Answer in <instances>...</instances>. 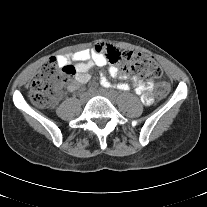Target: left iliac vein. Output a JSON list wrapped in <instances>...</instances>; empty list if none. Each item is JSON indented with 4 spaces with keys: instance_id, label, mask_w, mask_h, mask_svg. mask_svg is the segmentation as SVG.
<instances>
[{
    "instance_id": "1",
    "label": "left iliac vein",
    "mask_w": 207,
    "mask_h": 207,
    "mask_svg": "<svg viewBox=\"0 0 207 207\" xmlns=\"http://www.w3.org/2000/svg\"><path fill=\"white\" fill-rule=\"evenodd\" d=\"M96 90H93V91H90L89 93H90V95H88V96H91V95H95V94H100V95H103V96H105V97H107V98H109L110 100H114V98L117 96V91L116 90H114V89H110V90H106V89H103V88H100L98 91H96ZM92 92V93H91ZM88 93V94H89Z\"/></svg>"
}]
</instances>
